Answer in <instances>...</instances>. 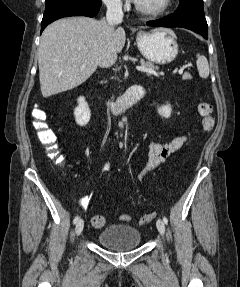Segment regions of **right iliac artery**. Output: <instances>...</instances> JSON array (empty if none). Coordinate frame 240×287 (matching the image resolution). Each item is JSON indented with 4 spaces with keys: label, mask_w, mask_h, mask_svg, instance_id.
Wrapping results in <instances>:
<instances>
[{
    "label": "right iliac artery",
    "mask_w": 240,
    "mask_h": 287,
    "mask_svg": "<svg viewBox=\"0 0 240 287\" xmlns=\"http://www.w3.org/2000/svg\"><path fill=\"white\" fill-rule=\"evenodd\" d=\"M79 218H80V217L77 215V216L74 218L73 223L76 224V223L79 221Z\"/></svg>",
    "instance_id": "82829eb1"
}]
</instances>
